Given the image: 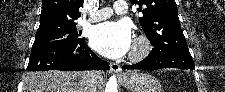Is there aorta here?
Here are the masks:
<instances>
[{"label": "aorta", "instance_id": "obj_1", "mask_svg": "<svg viewBox=\"0 0 225 92\" xmlns=\"http://www.w3.org/2000/svg\"><path fill=\"white\" fill-rule=\"evenodd\" d=\"M118 84L115 76H111L106 84L105 92H118Z\"/></svg>", "mask_w": 225, "mask_h": 92}]
</instances>
